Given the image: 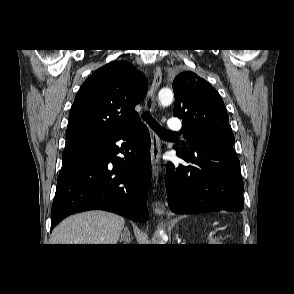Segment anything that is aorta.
<instances>
[{
	"instance_id": "1",
	"label": "aorta",
	"mask_w": 294,
	"mask_h": 294,
	"mask_svg": "<svg viewBox=\"0 0 294 294\" xmlns=\"http://www.w3.org/2000/svg\"><path fill=\"white\" fill-rule=\"evenodd\" d=\"M174 94L170 89L163 88L158 93L159 103L162 106H169L173 102ZM160 236L162 237V241L160 244H164V240L167 238V235L163 230L159 231Z\"/></svg>"
}]
</instances>
